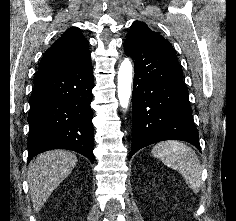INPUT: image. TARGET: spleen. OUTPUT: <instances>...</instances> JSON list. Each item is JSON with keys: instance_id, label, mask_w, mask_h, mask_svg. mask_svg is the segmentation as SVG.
<instances>
[{"instance_id": "3e777b00", "label": "spleen", "mask_w": 236, "mask_h": 221, "mask_svg": "<svg viewBox=\"0 0 236 221\" xmlns=\"http://www.w3.org/2000/svg\"><path fill=\"white\" fill-rule=\"evenodd\" d=\"M152 154L166 166L177 170L195 192L199 191L202 167L192 148L176 140L162 141L153 147Z\"/></svg>"}]
</instances>
